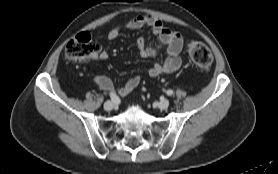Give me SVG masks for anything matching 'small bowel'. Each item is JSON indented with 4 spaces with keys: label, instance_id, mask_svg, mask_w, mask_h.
<instances>
[{
    "label": "small bowel",
    "instance_id": "obj_1",
    "mask_svg": "<svg viewBox=\"0 0 278 174\" xmlns=\"http://www.w3.org/2000/svg\"><path fill=\"white\" fill-rule=\"evenodd\" d=\"M143 27L150 28L152 34L157 38V44H151L144 37H138L136 43L139 56L141 58L155 57L161 50L165 51L163 60L148 69V76L154 78L176 72L182 64L180 53L183 47V38L178 32L165 27L154 16L139 15L123 25H116L108 32V39L118 38L123 28L140 29ZM91 58L94 61H105L109 58V53L103 50L94 53ZM140 80L139 76H133L123 86L116 87L109 77L98 75L94 78L95 84L100 89L121 96L131 93L139 85Z\"/></svg>",
    "mask_w": 278,
    "mask_h": 174
}]
</instances>
